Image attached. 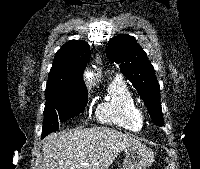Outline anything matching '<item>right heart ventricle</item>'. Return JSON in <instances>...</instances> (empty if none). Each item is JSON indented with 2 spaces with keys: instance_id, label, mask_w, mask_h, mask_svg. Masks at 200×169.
<instances>
[{
  "instance_id": "e07e8e85",
  "label": "right heart ventricle",
  "mask_w": 200,
  "mask_h": 169,
  "mask_svg": "<svg viewBox=\"0 0 200 169\" xmlns=\"http://www.w3.org/2000/svg\"><path fill=\"white\" fill-rule=\"evenodd\" d=\"M99 122L117 128L137 132L143 127L137 100L120 77L109 80L107 95L95 112Z\"/></svg>"
}]
</instances>
